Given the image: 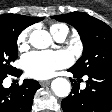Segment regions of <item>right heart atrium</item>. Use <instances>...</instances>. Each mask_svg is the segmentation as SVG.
<instances>
[{
	"instance_id": "right-heart-atrium-1",
	"label": "right heart atrium",
	"mask_w": 112,
	"mask_h": 112,
	"mask_svg": "<svg viewBox=\"0 0 112 112\" xmlns=\"http://www.w3.org/2000/svg\"><path fill=\"white\" fill-rule=\"evenodd\" d=\"M30 28L23 30L17 38V46L20 51H24L28 47Z\"/></svg>"
}]
</instances>
